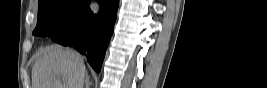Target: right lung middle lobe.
Wrapping results in <instances>:
<instances>
[{
  "label": "right lung middle lobe",
  "instance_id": "obj_1",
  "mask_svg": "<svg viewBox=\"0 0 267 88\" xmlns=\"http://www.w3.org/2000/svg\"><path fill=\"white\" fill-rule=\"evenodd\" d=\"M90 0H40L33 35L55 37L75 24L89 7Z\"/></svg>",
  "mask_w": 267,
  "mask_h": 88
}]
</instances>
